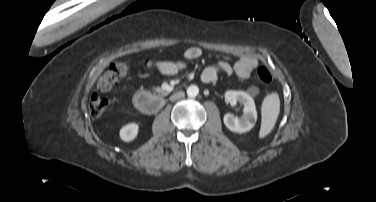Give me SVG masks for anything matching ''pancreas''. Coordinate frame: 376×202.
<instances>
[{"mask_svg": "<svg viewBox=\"0 0 376 202\" xmlns=\"http://www.w3.org/2000/svg\"><path fill=\"white\" fill-rule=\"evenodd\" d=\"M153 92H158V93H162V94H165V91L162 90L161 88L157 87V88H154L153 89Z\"/></svg>", "mask_w": 376, "mask_h": 202, "instance_id": "1", "label": "pancreas"}]
</instances>
